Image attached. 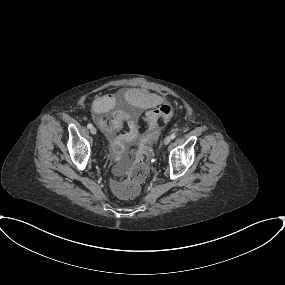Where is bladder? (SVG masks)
Wrapping results in <instances>:
<instances>
[{
  "label": "bladder",
  "mask_w": 285,
  "mask_h": 285,
  "mask_svg": "<svg viewBox=\"0 0 285 285\" xmlns=\"http://www.w3.org/2000/svg\"><path fill=\"white\" fill-rule=\"evenodd\" d=\"M132 97V92L129 90H123L120 92L118 99L120 101H129V99Z\"/></svg>",
  "instance_id": "bladder-1"
}]
</instances>
